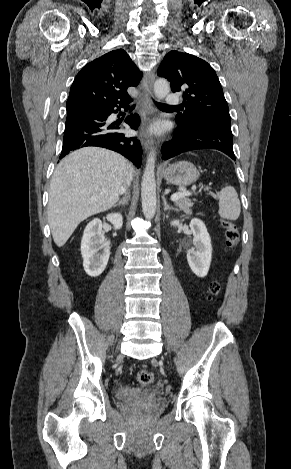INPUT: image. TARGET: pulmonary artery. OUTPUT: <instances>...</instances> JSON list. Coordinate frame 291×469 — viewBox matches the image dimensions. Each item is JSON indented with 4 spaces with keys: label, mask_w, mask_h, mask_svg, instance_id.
<instances>
[{
    "label": "pulmonary artery",
    "mask_w": 291,
    "mask_h": 469,
    "mask_svg": "<svg viewBox=\"0 0 291 469\" xmlns=\"http://www.w3.org/2000/svg\"><path fill=\"white\" fill-rule=\"evenodd\" d=\"M166 104L169 106H177L180 104V99L176 94H169L166 97Z\"/></svg>",
    "instance_id": "1"
}]
</instances>
